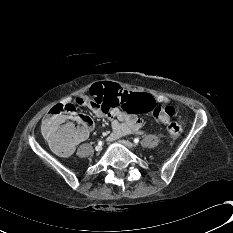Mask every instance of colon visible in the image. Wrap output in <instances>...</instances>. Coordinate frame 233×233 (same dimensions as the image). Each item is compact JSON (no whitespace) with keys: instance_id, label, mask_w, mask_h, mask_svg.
<instances>
[{"instance_id":"5ec220e1","label":"colon","mask_w":233,"mask_h":233,"mask_svg":"<svg viewBox=\"0 0 233 233\" xmlns=\"http://www.w3.org/2000/svg\"><path fill=\"white\" fill-rule=\"evenodd\" d=\"M90 97L96 103L108 104L137 114L151 113L158 122H169L175 114L172 106H159L154 97L145 92L133 91L122 83L114 81L96 82L90 88ZM71 119L64 122V116ZM91 119L88 116L76 114L73 104H58L54 106L43 122V133L51 145L65 153L77 140H82L90 133ZM167 132L171 137H179L182 126L178 122H169Z\"/></svg>"}]
</instances>
